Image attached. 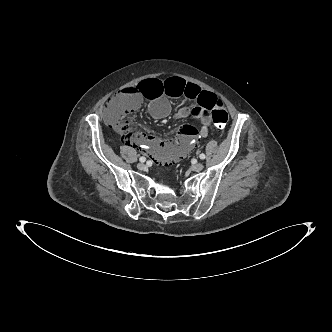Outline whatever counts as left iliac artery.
<instances>
[{
	"instance_id": "left-iliac-artery-1",
	"label": "left iliac artery",
	"mask_w": 332,
	"mask_h": 332,
	"mask_svg": "<svg viewBox=\"0 0 332 332\" xmlns=\"http://www.w3.org/2000/svg\"><path fill=\"white\" fill-rule=\"evenodd\" d=\"M199 157H200V159H202V160L206 158L205 154H203V153H202V154H200V156H199Z\"/></svg>"
}]
</instances>
